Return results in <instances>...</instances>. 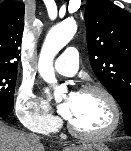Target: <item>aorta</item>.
I'll return each mask as SVG.
<instances>
[{
    "label": "aorta",
    "instance_id": "1",
    "mask_svg": "<svg viewBox=\"0 0 131 151\" xmlns=\"http://www.w3.org/2000/svg\"><path fill=\"white\" fill-rule=\"evenodd\" d=\"M77 30L73 20H65L54 26L48 33L39 58V73L48 83H55L53 59L56 54L72 39Z\"/></svg>",
    "mask_w": 131,
    "mask_h": 151
}]
</instances>
